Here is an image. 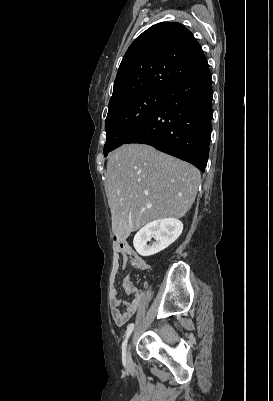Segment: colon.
<instances>
[{
    "instance_id": "1",
    "label": "colon",
    "mask_w": 273,
    "mask_h": 401,
    "mask_svg": "<svg viewBox=\"0 0 273 401\" xmlns=\"http://www.w3.org/2000/svg\"><path fill=\"white\" fill-rule=\"evenodd\" d=\"M119 255L123 256L124 252L120 251ZM143 268H148V263H143ZM135 291V284H123L121 288L116 289L115 294L116 296L121 297L124 293H135Z\"/></svg>"
}]
</instances>
